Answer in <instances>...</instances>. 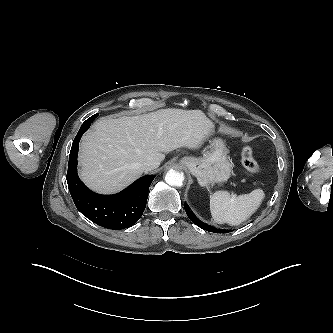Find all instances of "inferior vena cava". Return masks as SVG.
Returning <instances> with one entry per match:
<instances>
[{"label":"inferior vena cava","instance_id":"602c4592","mask_svg":"<svg viewBox=\"0 0 333 333\" xmlns=\"http://www.w3.org/2000/svg\"><path fill=\"white\" fill-rule=\"evenodd\" d=\"M159 164H160L159 161L149 158L141 163V167L144 170H152V169L157 168L159 166Z\"/></svg>","mask_w":333,"mask_h":333}]
</instances>
